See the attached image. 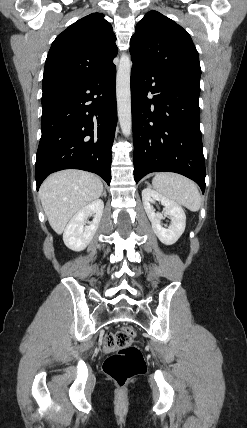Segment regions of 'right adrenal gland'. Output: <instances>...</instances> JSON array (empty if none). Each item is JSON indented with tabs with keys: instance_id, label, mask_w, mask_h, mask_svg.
I'll list each match as a JSON object with an SVG mask.
<instances>
[{
	"instance_id": "right-adrenal-gland-1",
	"label": "right adrenal gland",
	"mask_w": 247,
	"mask_h": 428,
	"mask_svg": "<svg viewBox=\"0 0 247 428\" xmlns=\"http://www.w3.org/2000/svg\"><path fill=\"white\" fill-rule=\"evenodd\" d=\"M103 195L106 197V191L104 190V193H103Z\"/></svg>"
}]
</instances>
